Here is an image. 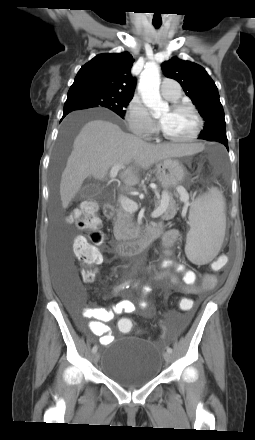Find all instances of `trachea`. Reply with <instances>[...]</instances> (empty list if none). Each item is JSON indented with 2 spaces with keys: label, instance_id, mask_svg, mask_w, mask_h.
<instances>
[{
  "label": "trachea",
  "instance_id": "3493384b",
  "mask_svg": "<svg viewBox=\"0 0 255 440\" xmlns=\"http://www.w3.org/2000/svg\"><path fill=\"white\" fill-rule=\"evenodd\" d=\"M153 25H154L156 28H159V27L161 26V23H153Z\"/></svg>",
  "mask_w": 255,
  "mask_h": 440
}]
</instances>
